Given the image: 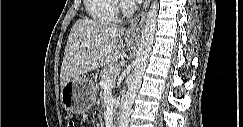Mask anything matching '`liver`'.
I'll return each instance as SVG.
<instances>
[{
    "mask_svg": "<svg viewBox=\"0 0 243 127\" xmlns=\"http://www.w3.org/2000/svg\"><path fill=\"white\" fill-rule=\"evenodd\" d=\"M124 28L103 21L79 19L68 36L60 85L78 79L122 57Z\"/></svg>",
    "mask_w": 243,
    "mask_h": 127,
    "instance_id": "liver-1",
    "label": "liver"
}]
</instances>
